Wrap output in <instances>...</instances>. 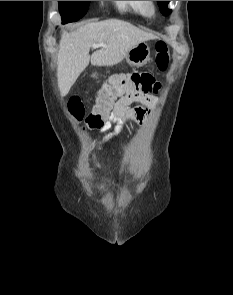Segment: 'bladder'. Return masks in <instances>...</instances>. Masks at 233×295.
<instances>
[{"mask_svg": "<svg viewBox=\"0 0 233 295\" xmlns=\"http://www.w3.org/2000/svg\"><path fill=\"white\" fill-rule=\"evenodd\" d=\"M91 189L97 192L105 193H117L120 192L118 189L113 188L106 180L98 179L91 185Z\"/></svg>", "mask_w": 233, "mask_h": 295, "instance_id": "bladder-1", "label": "bladder"}]
</instances>
